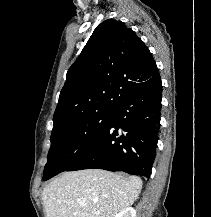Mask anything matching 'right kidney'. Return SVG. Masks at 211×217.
Returning a JSON list of instances; mask_svg holds the SVG:
<instances>
[{"label":"right kidney","mask_w":211,"mask_h":217,"mask_svg":"<svg viewBox=\"0 0 211 217\" xmlns=\"http://www.w3.org/2000/svg\"><path fill=\"white\" fill-rule=\"evenodd\" d=\"M114 217H136V211L132 207H127L116 214Z\"/></svg>","instance_id":"1"}]
</instances>
